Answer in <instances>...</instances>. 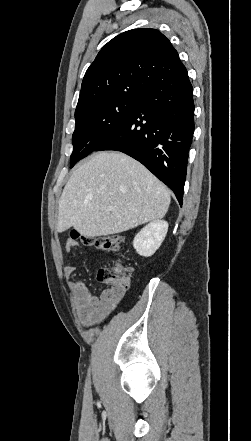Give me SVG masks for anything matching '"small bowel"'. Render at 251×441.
Listing matches in <instances>:
<instances>
[{
  "label": "small bowel",
  "mask_w": 251,
  "mask_h": 441,
  "mask_svg": "<svg viewBox=\"0 0 251 441\" xmlns=\"http://www.w3.org/2000/svg\"><path fill=\"white\" fill-rule=\"evenodd\" d=\"M78 246L75 240H68L65 245L66 251ZM76 267L68 265L64 268L67 276L74 274ZM72 293L75 299V308L80 322L89 326L98 323L108 317L120 303L124 292L113 288H107L99 296L94 295L84 280H75L71 283Z\"/></svg>",
  "instance_id": "obj_1"
}]
</instances>
